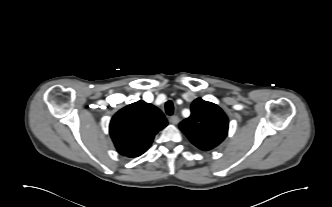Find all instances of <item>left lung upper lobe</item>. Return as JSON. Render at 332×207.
<instances>
[{"instance_id": "left-lung-upper-lobe-1", "label": "left lung upper lobe", "mask_w": 332, "mask_h": 207, "mask_svg": "<svg viewBox=\"0 0 332 207\" xmlns=\"http://www.w3.org/2000/svg\"><path fill=\"white\" fill-rule=\"evenodd\" d=\"M228 125V118L219 106L197 98L191 105V116L179 127L196 147L208 151L225 139Z\"/></svg>"}]
</instances>
